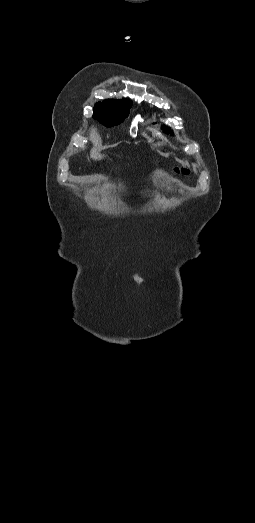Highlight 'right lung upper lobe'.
Instances as JSON below:
<instances>
[{
  "label": "right lung upper lobe",
  "mask_w": 255,
  "mask_h": 523,
  "mask_svg": "<svg viewBox=\"0 0 255 523\" xmlns=\"http://www.w3.org/2000/svg\"><path fill=\"white\" fill-rule=\"evenodd\" d=\"M123 102H128L126 99H123V100H113V99H109V100H104L103 103L99 102L97 103L95 106L97 105H103V104H115V103H123Z\"/></svg>",
  "instance_id": "1"
}]
</instances>
